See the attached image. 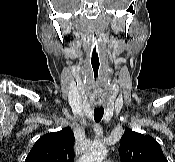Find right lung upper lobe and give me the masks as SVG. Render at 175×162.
<instances>
[{"instance_id":"cb5924a9","label":"right lung upper lobe","mask_w":175,"mask_h":162,"mask_svg":"<svg viewBox=\"0 0 175 162\" xmlns=\"http://www.w3.org/2000/svg\"><path fill=\"white\" fill-rule=\"evenodd\" d=\"M73 131L70 128L40 137L25 162H74Z\"/></svg>"}]
</instances>
